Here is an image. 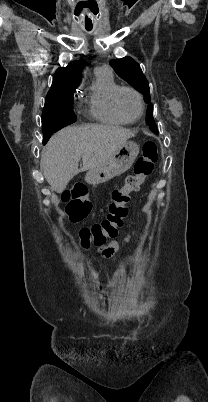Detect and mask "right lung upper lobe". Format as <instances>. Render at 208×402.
Here are the masks:
<instances>
[{
  "mask_svg": "<svg viewBox=\"0 0 208 402\" xmlns=\"http://www.w3.org/2000/svg\"><path fill=\"white\" fill-rule=\"evenodd\" d=\"M82 78L80 67L74 64L70 67H60L56 70L52 86L47 96L54 93L75 89Z\"/></svg>",
  "mask_w": 208,
  "mask_h": 402,
  "instance_id": "right-lung-upper-lobe-1",
  "label": "right lung upper lobe"
}]
</instances>
